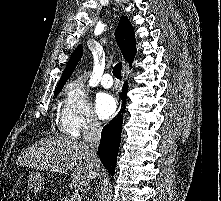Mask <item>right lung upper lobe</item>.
I'll list each match as a JSON object with an SVG mask.
<instances>
[{
    "instance_id": "right-lung-upper-lobe-1",
    "label": "right lung upper lobe",
    "mask_w": 221,
    "mask_h": 201,
    "mask_svg": "<svg viewBox=\"0 0 221 201\" xmlns=\"http://www.w3.org/2000/svg\"><path fill=\"white\" fill-rule=\"evenodd\" d=\"M115 38L120 47L124 59L128 61L131 65L136 53V44H135L134 29L127 17L122 16L120 18L118 27L115 31ZM82 53H83V48L81 45H79L71 55V58L66 68L63 71V74L60 78L59 84L55 92L62 90L67 79L71 76L77 63L81 59Z\"/></svg>"
}]
</instances>
